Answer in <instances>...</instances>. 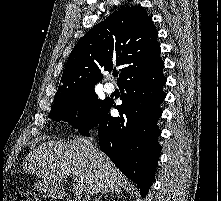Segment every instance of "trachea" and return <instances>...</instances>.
<instances>
[{"mask_svg":"<svg viewBox=\"0 0 221 201\" xmlns=\"http://www.w3.org/2000/svg\"><path fill=\"white\" fill-rule=\"evenodd\" d=\"M113 76H114V77H117V76H118V74H117V73H114V74H113Z\"/></svg>","mask_w":221,"mask_h":201,"instance_id":"obj_1","label":"trachea"}]
</instances>
